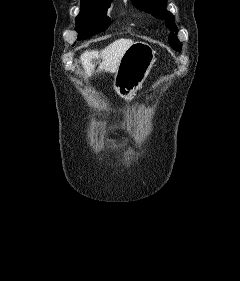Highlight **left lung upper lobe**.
I'll list each match as a JSON object with an SVG mask.
<instances>
[{"mask_svg": "<svg viewBox=\"0 0 240 281\" xmlns=\"http://www.w3.org/2000/svg\"><path fill=\"white\" fill-rule=\"evenodd\" d=\"M167 0H133V4L145 12L151 13L153 16L165 19L166 27L170 29L169 43L173 49L180 51L182 43L178 41L173 32H177L178 28L175 25L172 13L166 10Z\"/></svg>", "mask_w": 240, "mask_h": 281, "instance_id": "left-lung-upper-lobe-1", "label": "left lung upper lobe"}]
</instances>
